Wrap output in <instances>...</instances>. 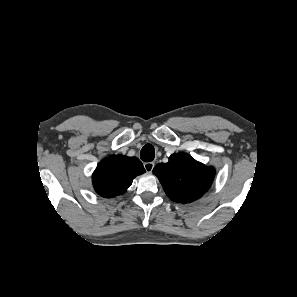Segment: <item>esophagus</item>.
<instances>
[{"instance_id":"34e87169","label":"esophagus","mask_w":297,"mask_h":297,"mask_svg":"<svg viewBox=\"0 0 297 297\" xmlns=\"http://www.w3.org/2000/svg\"><path fill=\"white\" fill-rule=\"evenodd\" d=\"M154 163L153 162H146L144 163V168L147 172H152L153 168H154Z\"/></svg>"}]
</instances>
